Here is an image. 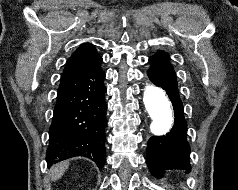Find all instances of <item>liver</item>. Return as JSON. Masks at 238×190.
I'll list each match as a JSON object with an SVG mask.
<instances>
[{
  "label": "liver",
  "mask_w": 238,
  "mask_h": 190,
  "mask_svg": "<svg viewBox=\"0 0 238 190\" xmlns=\"http://www.w3.org/2000/svg\"><path fill=\"white\" fill-rule=\"evenodd\" d=\"M68 166H69V161H63L53 166L50 170V176L52 181H56L60 179L65 173Z\"/></svg>",
  "instance_id": "6515ba94"
}]
</instances>
